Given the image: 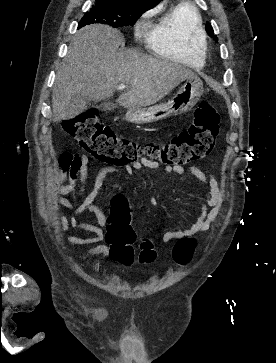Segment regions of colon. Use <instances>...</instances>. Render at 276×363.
Wrapping results in <instances>:
<instances>
[{
	"instance_id": "1",
	"label": "colon",
	"mask_w": 276,
	"mask_h": 363,
	"mask_svg": "<svg viewBox=\"0 0 276 363\" xmlns=\"http://www.w3.org/2000/svg\"><path fill=\"white\" fill-rule=\"evenodd\" d=\"M220 116L207 101H202L195 110L193 123L172 136L165 143H137L117 136L99 118L96 110H90L63 122V130L74 137L91 156L101 161L123 165L139 159L158 160L169 166H182L207 156L212 150L219 131ZM116 214V213H115ZM107 241L111 245L113 260L131 265L135 258L136 234L130 224V216L124 212L114 215L108 222ZM196 241L185 237L177 241L172 251L175 267L187 265L193 256ZM156 258L153 242L142 239L137 260L140 264L152 263Z\"/></svg>"
}]
</instances>
